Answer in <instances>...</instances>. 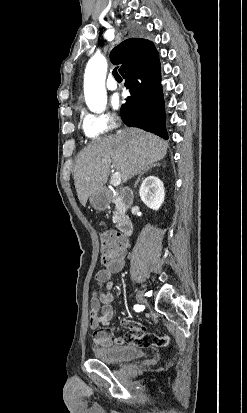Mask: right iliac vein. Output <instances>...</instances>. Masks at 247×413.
Returning <instances> with one entry per match:
<instances>
[{
    "label": "right iliac vein",
    "mask_w": 247,
    "mask_h": 413,
    "mask_svg": "<svg viewBox=\"0 0 247 413\" xmlns=\"http://www.w3.org/2000/svg\"><path fill=\"white\" fill-rule=\"evenodd\" d=\"M136 300H137L139 303H144V302H146V298H145L144 294H143L142 292H140V291H138L137 294H136Z\"/></svg>",
    "instance_id": "right-iliac-vein-1"
}]
</instances>
